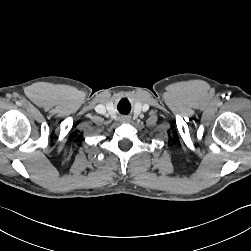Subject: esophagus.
Instances as JSON below:
<instances>
[{
  "label": "esophagus",
  "mask_w": 251,
  "mask_h": 251,
  "mask_svg": "<svg viewBox=\"0 0 251 251\" xmlns=\"http://www.w3.org/2000/svg\"><path fill=\"white\" fill-rule=\"evenodd\" d=\"M125 121H126V119L124 118V119H123V122H125Z\"/></svg>",
  "instance_id": "obj_1"
}]
</instances>
